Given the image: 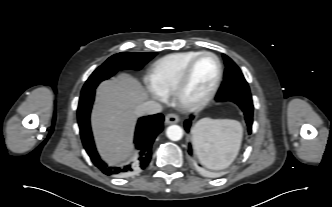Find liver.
Wrapping results in <instances>:
<instances>
[{
  "label": "liver",
  "mask_w": 332,
  "mask_h": 207,
  "mask_svg": "<svg viewBox=\"0 0 332 207\" xmlns=\"http://www.w3.org/2000/svg\"><path fill=\"white\" fill-rule=\"evenodd\" d=\"M146 98L141 83L128 74L105 81L97 89L92 127L98 150L110 165L133 155L136 107Z\"/></svg>",
  "instance_id": "liver-1"
}]
</instances>
